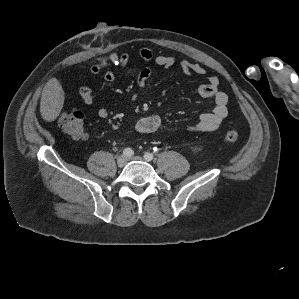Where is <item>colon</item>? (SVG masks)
I'll list each match as a JSON object with an SVG mask.
<instances>
[{"label": "colon", "mask_w": 299, "mask_h": 299, "mask_svg": "<svg viewBox=\"0 0 299 299\" xmlns=\"http://www.w3.org/2000/svg\"><path fill=\"white\" fill-rule=\"evenodd\" d=\"M61 130L67 135L75 139H83L86 137L84 127V115L78 109H72L61 113L58 119ZM239 131L236 129L228 130L224 134V140L234 142L239 139Z\"/></svg>", "instance_id": "1"}]
</instances>
